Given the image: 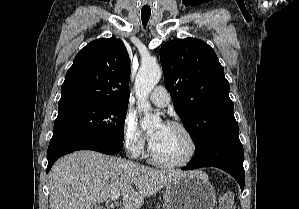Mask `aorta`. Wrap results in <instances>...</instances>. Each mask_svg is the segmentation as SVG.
<instances>
[{"mask_svg": "<svg viewBox=\"0 0 299 209\" xmlns=\"http://www.w3.org/2000/svg\"><path fill=\"white\" fill-rule=\"evenodd\" d=\"M162 76V70L156 63H143L135 79V92L138 98L137 107L144 113L141 126L151 128L160 122V117L151 114V106L147 101L148 95L154 89Z\"/></svg>", "mask_w": 299, "mask_h": 209, "instance_id": "1", "label": "aorta"}]
</instances>
